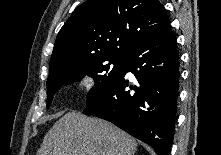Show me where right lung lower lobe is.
Returning <instances> with one entry per match:
<instances>
[{
    "label": "right lung lower lobe",
    "mask_w": 221,
    "mask_h": 155,
    "mask_svg": "<svg viewBox=\"0 0 221 155\" xmlns=\"http://www.w3.org/2000/svg\"><path fill=\"white\" fill-rule=\"evenodd\" d=\"M130 71L136 84L125 77ZM179 51L170 28L141 39L127 55L114 82L83 111L112 122L169 155L174 138L179 90Z\"/></svg>",
    "instance_id": "1"
}]
</instances>
